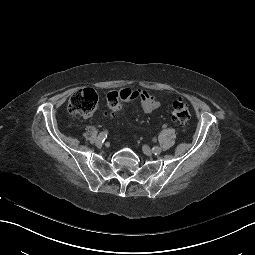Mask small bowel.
Masks as SVG:
<instances>
[{
	"label": "small bowel",
	"instance_id": "1",
	"mask_svg": "<svg viewBox=\"0 0 255 255\" xmlns=\"http://www.w3.org/2000/svg\"><path fill=\"white\" fill-rule=\"evenodd\" d=\"M140 105L145 113H153L161 108L160 101L147 91H140Z\"/></svg>",
	"mask_w": 255,
	"mask_h": 255
}]
</instances>
